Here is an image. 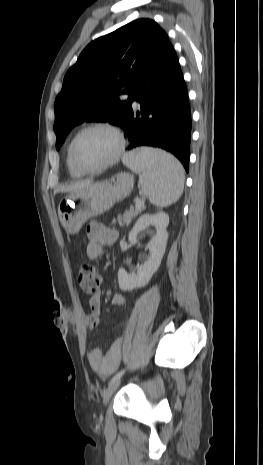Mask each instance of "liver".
Listing matches in <instances>:
<instances>
[{"mask_svg": "<svg viewBox=\"0 0 263 465\" xmlns=\"http://www.w3.org/2000/svg\"><path fill=\"white\" fill-rule=\"evenodd\" d=\"M92 183H93L92 180H86V181L77 182L71 185L61 186L54 191V194L59 193V192H76L91 185Z\"/></svg>", "mask_w": 263, "mask_h": 465, "instance_id": "obj_1", "label": "liver"}]
</instances>
